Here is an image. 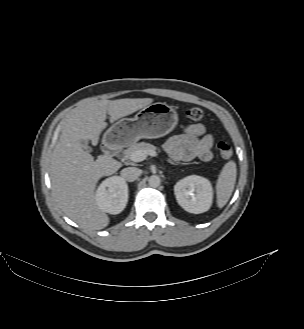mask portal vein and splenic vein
<instances>
[{
  "instance_id": "1",
  "label": "portal vein and splenic vein",
  "mask_w": 304,
  "mask_h": 329,
  "mask_svg": "<svg viewBox=\"0 0 304 329\" xmlns=\"http://www.w3.org/2000/svg\"><path fill=\"white\" fill-rule=\"evenodd\" d=\"M156 156L155 150H137L130 154L129 159L133 162H141L147 158V156Z\"/></svg>"
}]
</instances>
